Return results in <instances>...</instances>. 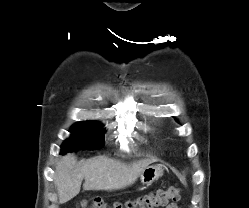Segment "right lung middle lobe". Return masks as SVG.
I'll return each instance as SVG.
<instances>
[{
  "mask_svg": "<svg viewBox=\"0 0 249 208\" xmlns=\"http://www.w3.org/2000/svg\"><path fill=\"white\" fill-rule=\"evenodd\" d=\"M70 132L72 136L63 143L61 154L79 149H98L104 145V131L98 123L79 122L72 126Z\"/></svg>",
  "mask_w": 249,
  "mask_h": 208,
  "instance_id": "right-lung-middle-lobe-1",
  "label": "right lung middle lobe"
}]
</instances>
